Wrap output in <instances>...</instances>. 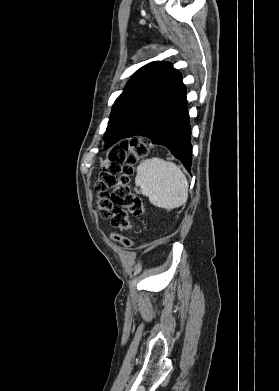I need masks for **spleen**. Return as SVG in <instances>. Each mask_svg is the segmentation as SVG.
I'll list each match as a JSON object with an SVG mask.
<instances>
[{
  "mask_svg": "<svg viewBox=\"0 0 279 391\" xmlns=\"http://www.w3.org/2000/svg\"><path fill=\"white\" fill-rule=\"evenodd\" d=\"M135 184L153 205L160 208H178L188 199V181L180 167L157 157L140 163Z\"/></svg>",
  "mask_w": 279,
  "mask_h": 391,
  "instance_id": "obj_1",
  "label": "spleen"
}]
</instances>
